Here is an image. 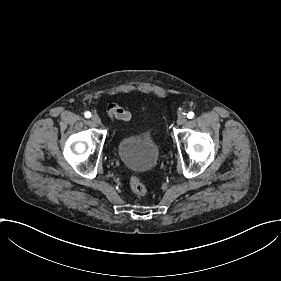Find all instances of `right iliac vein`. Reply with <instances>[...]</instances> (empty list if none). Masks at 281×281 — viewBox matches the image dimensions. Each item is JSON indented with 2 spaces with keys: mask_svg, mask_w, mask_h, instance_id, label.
Here are the masks:
<instances>
[{
  "mask_svg": "<svg viewBox=\"0 0 281 281\" xmlns=\"http://www.w3.org/2000/svg\"><path fill=\"white\" fill-rule=\"evenodd\" d=\"M91 122L92 124L97 126H100L102 124V121L97 116L92 117Z\"/></svg>",
  "mask_w": 281,
  "mask_h": 281,
  "instance_id": "1",
  "label": "right iliac vein"
}]
</instances>
